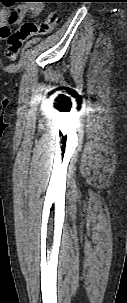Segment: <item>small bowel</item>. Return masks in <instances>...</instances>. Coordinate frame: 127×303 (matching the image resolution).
<instances>
[{
  "label": "small bowel",
  "mask_w": 127,
  "mask_h": 303,
  "mask_svg": "<svg viewBox=\"0 0 127 303\" xmlns=\"http://www.w3.org/2000/svg\"><path fill=\"white\" fill-rule=\"evenodd\" d=\"M14 10L0 9V38L4 39L11 31V26L19 24L27 15L36 17L42 10L39 0H25Z\"/></svg>",
  "instance_id": "obj_1"
}]
</instances>
